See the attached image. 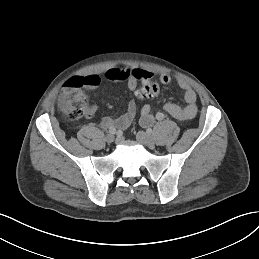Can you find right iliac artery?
Instances as JSON below:
<instances>
[{
  "label": "right iliac artery",
  "mask_w": 259,
  "mask_h": 259,
  "mask_svg": "<svg viewBox=\"0 0 259 259\" xmlns=\"http://www.w3.org/2000/svg\"><path fill=\"white\" fill-rule=\"evenodd\" d=\"M109 133L110 134H115L116 133V129L114 127H110L109 128Z\"/></svg>",
  "instance_id": "82829eb1"
}]
</instances>
